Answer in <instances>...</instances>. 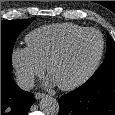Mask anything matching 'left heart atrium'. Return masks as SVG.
Masks as SVG:
<instances>
[{
    "label": "left heart atrium",
    "mask_w": 115,
    "mask_h": 115,
    "mask_svg": "<svg viewBox=\"0 0 115 115\" xmlns=\"http://www.w3.org/2000/svg\"><path fill=\"white\" fill-rule=\"evenodd\" d=\"M54 83H55V81L53 79H50L49 82H48V84H51V85L54 84Z\"/></svg>",
    "instance_id": "1"
}]
</instances>
